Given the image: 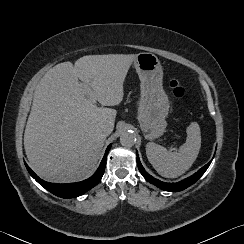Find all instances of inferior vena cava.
I'll return each mask as SVG.
<instances>
[{
	"mask_svg": "<svg viewBox=\"0 0 244 244\" xmlns=\"http://www.w3.org/2000/svg\"><path fill=\"white\" fill-rule=\"evenodd\" d=\"M99 131L101 132L102 135L108 136L112 132V129L107 124H101L99 126Z\"/></svg>",
	"mask_w": 244,
	"mask_h": 244,
	"instance_id": "602c4592",
	"label": "inferior vena cava"
}]
</instances>
